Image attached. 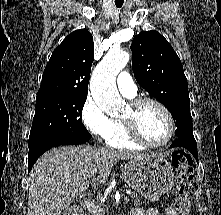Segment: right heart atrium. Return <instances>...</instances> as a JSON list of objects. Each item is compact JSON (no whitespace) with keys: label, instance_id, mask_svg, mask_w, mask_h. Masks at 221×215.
<instances>
[{"label":"right heart atrium","instance_id":"d8ad5b80","mask_svg":"<svg viewBox=\"0 0 221 215\" xmlns=\"http://www.w3.org/2000/svg\"><path fill=\"white\" fill-rule=\"evenodd\" d=\"M80 115L84 127L90 134L99 139H105L111 133L112 119L105 114L92 97H87Z\"/></svg>","mask_w":221,"mask_h":215}]
</instances>
